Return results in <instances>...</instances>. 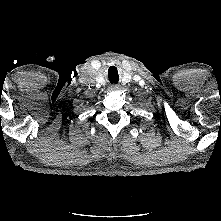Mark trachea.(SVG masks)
<instances>
[{
  "label": "trachea",
  "instance_id": "1",
  "mask_svg": "<svg viewBox=\"0 0 221 221\" xmlns=\"http://www.w3.org/2000/svg\"><path fill=\"white\" fill-rule=\"evenodd\" d=\"M114 68L116 71H114V73H111V71H109V80L112 83H117L118 82V72H117V68L116 67H112ZM110 70V69H109Z\"/></svg>",
  "mask_w": 221,
  "mask_h": 221
}]
</instances>
